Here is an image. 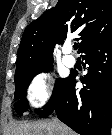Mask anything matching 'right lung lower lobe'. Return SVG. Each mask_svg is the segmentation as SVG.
Instances as JSON below:
<instances>
[{"instance_id": "1", "label": "right lung lower lobe", "mask_w": 112, "mask_h": 135, "mask_svg": "<svg viewBox=\"0 0 112 135\" xmlns=\"http://www.w3.org/2000/svg\"><path fill=\"white\" fill-rule=\"evenodd\" d=\"M82 58L88 73L82 89L75 88L70 74L53 101L40 110L39 117L56 112L57 117L81 135H110L112 128V39L85 49Z\"/></svg>"}]
</instances>
